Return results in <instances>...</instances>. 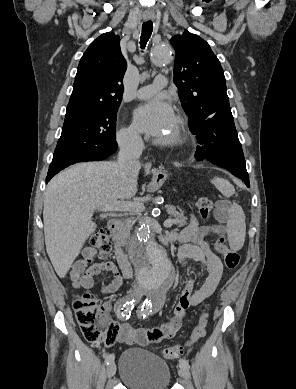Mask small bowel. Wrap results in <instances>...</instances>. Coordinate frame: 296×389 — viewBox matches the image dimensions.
<instances>
[{"instance_id": "1", "label": "small bowel", "mask_w": 296, "mask_h": 389, "mask_svg": "<svg viewBox=\"0 0 296 389\" xmlns=\"http://www.w3.org/2000/svg\"><path fill=\"white\" fill-rule=\"evenodd\" d=\"M228 205L225 201H220L216 208V217L218 225L215 230L223 233V224L228 218ZM209 228L200 226L196 217L191 215L190 223L179 233L170 234L171 240H178L180 248L178 251V261L182 266H186L188 260L200 263L206 277L201 287L195 291L192 290V281L189 278L185 280L183 294L178 304L173 310L171 319L159 327L143 328L134 327L128 322L119 326L117 341L129 345L146 346L157 344L165 339L172 338L185 324L187 309L196 308L209 298L216 290L224 273L223 264L219 255L211 248L210 243L205 239ZM96 250L87 247L82 251L81 258L78 259L70 271V279L75 288L88 289L94 285V277L101 272H110L112 280L103 285L100 290L103 294L116 293L126 278L122 270L111 261L94 263ZM105 308L110 310L111 303L106 302Z\"/></svg>"}]
</instances>
